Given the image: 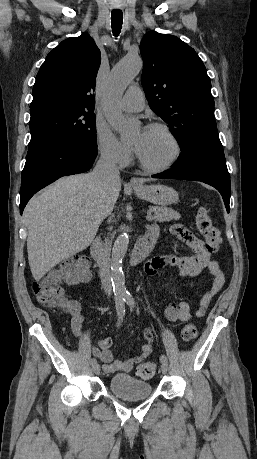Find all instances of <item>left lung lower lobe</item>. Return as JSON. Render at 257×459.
<instances>
[{"mask_svg": "<svg viewBox=\"0 0 257 459\" xmlns=\"http://www.w3.org/2000/svg\"><path fill=\"white\" fill-rule=\"evenodd\" d=\"M152 177L207 183L221 193L227 212L230 211V176L217 127L201 130L193 138L188 154L179 157L171 169Z\"/></svg>", "mask_w": 257, "mask_h": 459, "instance_id": "1", "label": "left lung lower lobe"}]
</instances>
